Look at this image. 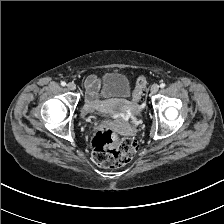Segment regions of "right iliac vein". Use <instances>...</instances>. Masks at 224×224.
I'll list each match as a JSON object with an SVG mask.
<instances>
[{"label":"right iliac vein","mask_w":224,"mask_h":224,"mask_svg":"<svg viewBox=\"0 0 224 224\" xmlns=\"http://www.w3.org/2000/svg\"><path fill=\"white\" fill-rule=\"evenodd\" d=\"M67 88L71 91L75 90L76 89V84L73 83V82H70L67 84Z\"/></svg>","instance_id":"right-iliac-vein-1"}]
</instances>
